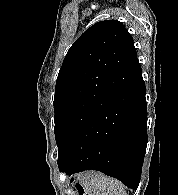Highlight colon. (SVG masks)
<instances>
[{"label":"colon","mask_w":178,"mask_h":195,"mask_svg":"<svg viewBox=\"0 0 178 195\" xmlns=\"http://www.w3.org/2000/svg\"><path fill=\"white\" fill-rule=\"evenodd\" d=\"M77 190H78L79 195H90L84 190V188L81 185H77Z\"/></svg>","instance_id":"obj_1"}]
</instances>
